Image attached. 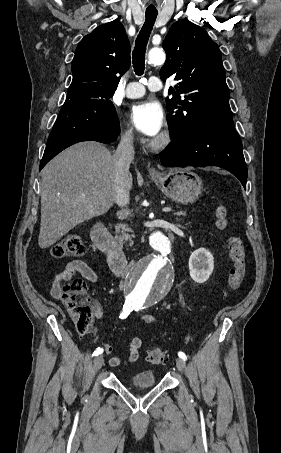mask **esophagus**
Segmentation results:
<instances>
[{
  "label": "esophagus",
  "instance_id": "1",
  "mask_svg": "<svg viewBox=\"0 0 281 453\" xmlns=\"http://www.w3.org/2000/svg\"><path fill=\"white\" fill-rule=\"evenodd\" d=\"M148 170H149V172H150L151 174L157 173L156 170H155V168H153V167H149Z\"/></svg>",
  "mask_w": 281,
  "mask_h": 453
}]
</instances>
